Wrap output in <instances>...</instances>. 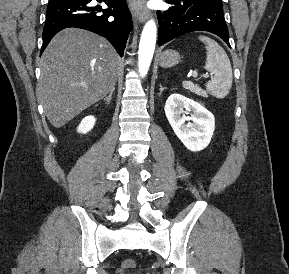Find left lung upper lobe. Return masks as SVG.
I'll use <instances>...</instances> for the list:
<instances>
[{
    "instance_id": "5c2ea615",
    "label": "left lung upper lobe",
    "mask_w": 289,
    "mask_h": 274,
    "mask_svg": "<svg viewBox=\"0 0 289 274\" xmlns=\"http://www.w3.org/2000/svg\"><path fill=\"white\" fill-rule=\"evenodd\" d=\"M169 1H171L173 3H178L180 0H169ZM213 1L222 2L221 0H213Z\"/></svg>"
}]
</instances>
